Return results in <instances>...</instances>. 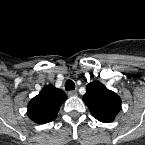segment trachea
<instances>
[{
    "instance_id": "3493384b",
    "label": "trachea",
    "mask_w": 145,
    "mask_h": 145,
    "mask_svg": "<svg viewBox=\"0 0 145 145\" xmlns=\"http://www.w3.org/2000/svg\"><path fill=\"white\" fill-rule=\"evenodd\" d=\"M65 89L68 91L74 90L75 89V83L72 80H67L65 82Z\"/></svg>"
}]
</instances>
